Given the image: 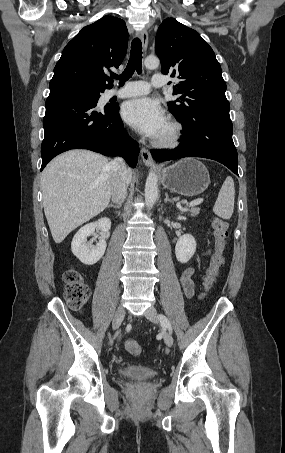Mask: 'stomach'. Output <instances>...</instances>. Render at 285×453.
Segmentation results:
<instances>
[{"label":"stomach","instance_id":"stomach-1","mask_svg":"<svg viewBox=\"0 0 285 453\" xmlns=\"http://www.w3.org/2000/svg\"><path fill=\"white\" fill-rule=\"evenodd\" d=\"M161 181L166 189L192 197L207 189L210 184V176L203 163L194 158H186L163 168Z\"/></svg>","mask_w":285,"mask_h":453}]
</instances>
